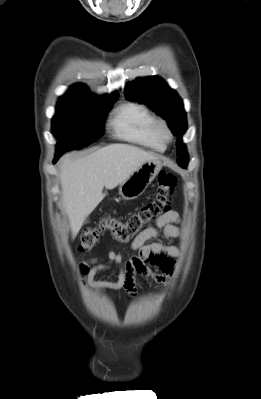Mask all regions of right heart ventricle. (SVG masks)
<instances>
[{"label": "right heart ventricle", "instance_id": "e07e8e85", "mask_svg": "<svg viewBox=\"0 0 261 399\" xmlns=\"http://www.w3.org/2000/svg\"><path fill=\"white\" fill-rule=\"evenodd\" d=\"M157 118L143 104L127 102L119 106L110 120L115 137L155 151H164L165 143L156 132Z\"/></svg>", "mask_w": 261, "mask_h": 399}]
</instances>
